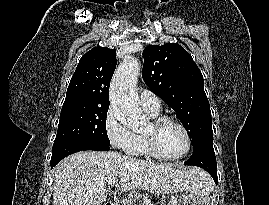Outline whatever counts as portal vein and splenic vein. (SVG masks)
Returning <instances> with one entry per match:
<instances>
[{
	"mask_svg": "<svg viewBox=\"0 0 269 205\" xmlns=\"http://www.w3.org/2000/svg\"><path fill=\"white\" fill-rule=\"evenodd\" d=\"M118 182V178H113L108 180L107 184L108 185H115Z\"/></svg>",
	"mask_w": 269,
	"mask_h": 205,
	"instance_id": "portal-vein-and-splenic-vein-1",
	"label": "portal vein and splenic vein"
}]
</instances>
